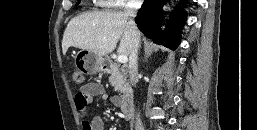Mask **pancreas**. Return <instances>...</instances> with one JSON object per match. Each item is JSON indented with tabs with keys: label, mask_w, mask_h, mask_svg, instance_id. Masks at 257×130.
<instances>
[{
	"label": "pancreas",
	"mask_w": 257,
	"mask_h": 130,
	"mask_svg": "<svg viewBox=\"0 0 257 130\" xmlns=\"http://www.w3.org/2000/svg\"><path fill=\"white\" fill-rule=\"evenodd\" d=\"M109 82L112 86H114V90L124 93L126 91V76L123 74H120L119 72H116L112 70L111 76L109 77Z\"/></svg>",
	"instance_id": "1"
}]
</instances>
